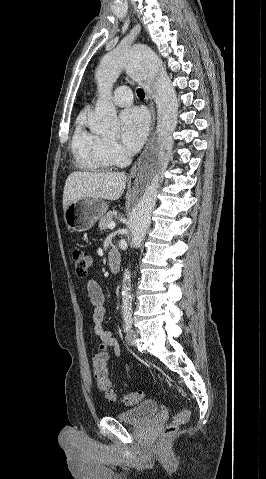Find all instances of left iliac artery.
Masks as SVG:
<instances>
[{
    "label": "left iliac artery",
    "instance_id": "44dca946",
    "mask_svg": "<svg viewBox=\"0 0 266 479\" xmlns=\"http://www.w3.org/2000/svg\"><path fill=\"white\" fill-rule=\"evenodd\" d=\"M123 318H124V331L125 332H128L131 327H132V316L130 313H125L123 315Z\"/></svg>",
    "mask_w": 266,
    "mask_h": 479
}]
</instances>
